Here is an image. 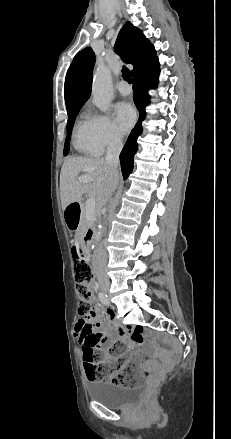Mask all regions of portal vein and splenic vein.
<instances>
[{
    "instance_id": "portal-vein-and-splenic-vein-1",
    "label": "portal vein and splenic vein",
    "mask_w": 231,
    "mask_h": 439,
    "mask_svg": "<svg viewBox=\"0 0 231 439\" xmlns=\"http://www.w3.org/2000/svg\"><path fill=\"white\" fill-rule=\"evenodd\" d=\"M78 182L79 183L91 182V178L87 177V176H80L78 178ZM95 205H96L95 198L90 197L89 199H87V201H86V210H87V214L89 216L94 214V212H95Z\"/></svg>"
}]
</instances>
